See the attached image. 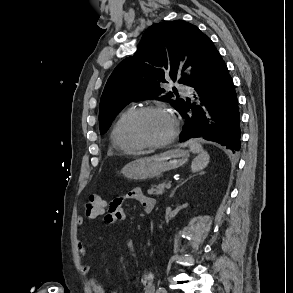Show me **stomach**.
Here are the masks:
<instances>
[{"label":"stomach","mask_w":293,"mask_h":293,"mask_svg":"<svg viewBox=\"0 0 293 293\" xmlns=\"http://www.w3.org/2000/svg\"><path fill=\"white\" fill-rule=\"evenodd\" d=\"M189 152L173 149L164 153L138 158L122 169V174L132 180H149L161 176L164 172L179 168L187 162Z\"/></svg>","instance_id":"obj_1"}]
</instances>
